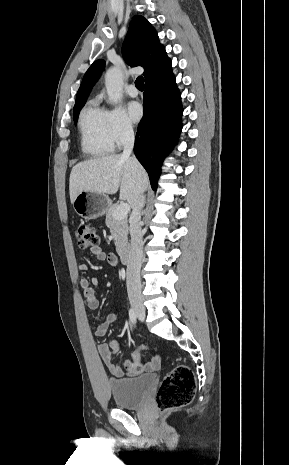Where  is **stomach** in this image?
<instances>
[{
    "mask_svg": "<svg viewBox=\"0 0 289 465\" xmlns=\"http://www.w3.org/2000/svg\"><path fill=\"white\" fill-rule=\"evenodd\" d=\"M111 206L106 194L83 191L73 201L74 211L85 220L96 219L104 215Z\"/></svg>",
    "mask_w": 289,
    "mask_h": 465,
    "instance_id": "obj_1",
    "label": "stomach"
}]
</instances>
